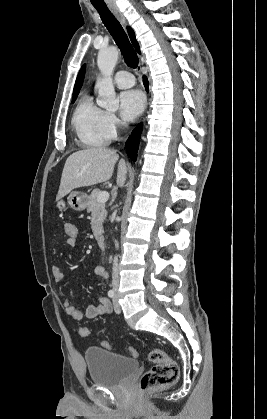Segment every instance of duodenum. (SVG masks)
Returning a JSON list of instances; mask_svg holds the SVG:
<instances>
[{
	"mask_svg": "<svg viewBox=\"0 0 267 419\" xmlns=\"http://www.w3.org/2000/svg\"><path fill=\"white\" fill-rule=\"evenodd\" d=\"M97 243H98V245L100 246V247H105V245H106V239H105V236H103V235H99L98 237H97Z\"/></svg>",
	"mask_w": 267,
	"mask_h": 419,
	"instance_id": "duodenum-1",
	"label": "duodenum"
}]
</instances>
